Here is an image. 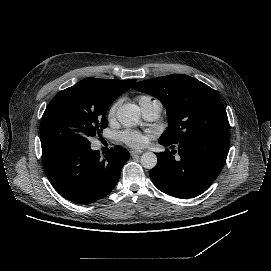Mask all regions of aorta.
<instances>
[{
	"label": "aorta",
	"mask_w": 271,
	"mask_h": 271,
	"mask_svg": "<svg viewBox=\"0 0 271 271\" xmlns=\"http://www.w3.org/2000/svg\"><path fill=\"white\" fill-rule=\"evenodd\" d=\"M116 117L125 127H134L140 119V109L132 103H125L117 109ZM141 165L147 169H153L158 162L157 156L152 152H145L140 159Z\"/></svg>",
	"instance_id": "762f6f07"
}]
</instances>
